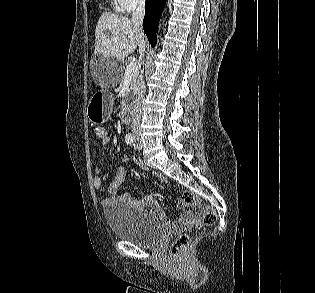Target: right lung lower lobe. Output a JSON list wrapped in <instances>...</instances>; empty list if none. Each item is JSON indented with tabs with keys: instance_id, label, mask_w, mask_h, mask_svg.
<instances>
[{
	"instance_id": "obj_1",
	"label": "right lung lower lobe",
	"mask_w": 315,
	"mask_h": 293,
	"mask_svg": "<svg viewBox=\"0 0 315 293\" xmlns=\"http://www.w3.org/2000/svg\"><path fill=\"white\" fill-rule=\"evenodd\" d=\"M166 0H146L143 29L152 46L156 44V28L163 11Z\"/></svg>"
}]
</instances>
